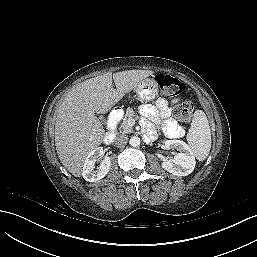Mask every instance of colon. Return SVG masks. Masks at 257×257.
Instances as JSON below:
<instances>
[{
    "label": "colon",
    "mask_w": 257,
    "mask_h": 257,
    "mask_svg": "<svg viewBox=\"0 0 257 257\" xmlns=\"http://www.w3.org/2000/svg\"><path fill=\"white\" fill-rule=\"evenodd\" d=\"M156 83L159 86L160 92L165 97H174L180 95L185 90V85L182 81L166 74H158ZM193 104L185 102L176 108L177 118L184 123L191 120L193 113Z\"/></svg>",
    "instance_id": "obj_1"
}]
</instances>
